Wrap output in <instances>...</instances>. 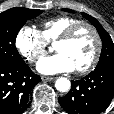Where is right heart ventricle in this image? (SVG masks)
I'll return each mask as SVG.
<instances>
[{
	"instance_id": "right-heart-ventricle-1",
	"label": "right heart ventricle",
	"mask_w": 114,
	"mask_h": 114,
	"mask_svg": "<svg viewBox=\"0 0 114 114\" xmlns=\"http://www.w3.org/2000/svg\"><path fill=\"white\" fill-rule=\"evenodd\" d=\"M78 22L80 20L75 17L57 16L44 21L39 32L47 43L54 42L66 29Z\"/></svg>"
}]
</instances>
